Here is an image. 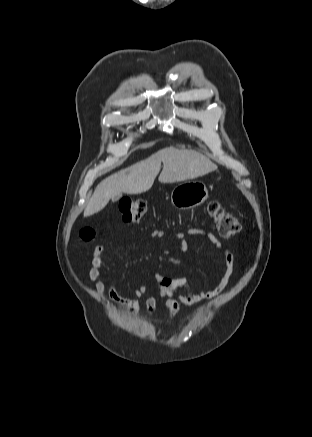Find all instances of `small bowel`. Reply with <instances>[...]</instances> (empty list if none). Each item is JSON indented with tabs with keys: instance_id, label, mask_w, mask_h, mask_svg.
Wrapping results in <instances>:
<instances>
[{
	"instance_id": "obj_1",
	"label": "small bowel",
	"mask_w": 312,
	"mask_h": 437,
	"mask_svg": "<svg viewBox=\"0 0 312 437\" xmlns=\"http://www.w3.org/2000/svg\"><path fill=\"white\" fill-rule=\"evenodd\" d=\"M205 235L214 247L219 251L223 261V271L218 283L209 289L193 292L191 290L190 282L185 277H167L162 274H157L155 280L159 287V296L165 301L166 308L170 317L176 315L181 306H191L195 303H199L205 300L212 299L219 295L229 283V279L234 269V257L231 251L224 247L221 242L210 232H204L200 229H189L186 233L177 231L175 237L180 241L182 248L186 246V235ZM164 233L161 230L155 229L151 232L152 237H163ZM107 244L96 245L91 261V268L89 270V278L95 284L96 290L103 298H110L116 303L123 306L125 311L132 313L138 310L139 303L135 299H125L120 296L114 285L106 286L104 283L101 268L103 265L104 252L107 248ZM178 290H182V294H177ZM148 291L146 285H141L134 291L136 297L144 295ZM157 305V296H149L145 301V307L148 315H152L155 312Z\"/></svg>"
}]
</instances>
